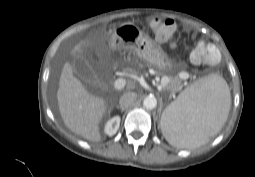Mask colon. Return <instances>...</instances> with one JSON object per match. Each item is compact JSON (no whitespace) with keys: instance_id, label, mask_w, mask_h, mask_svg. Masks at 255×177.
<instances>
[{"instance_id":"colon-1","label":"colon","mask_w":255,"mask_h":177,"mask_svg":"<svg viewBox=\"0 0 255 177\" xmlns=\"http://www.w3.org/2000/svg\"><path fill=\"white\" fill-rule=\"evenodd\" d=\"M150 26L156 38L162 42L168 41L175 31V24L171 19L154 17L150 21ZM218 59V49L214 45L204 41L198 42L190 54V60L194 64H213L216 63Z\"/></svg>"}]
</instances>
